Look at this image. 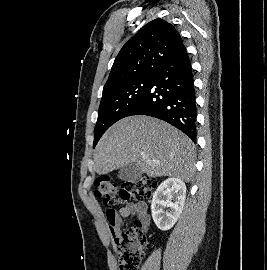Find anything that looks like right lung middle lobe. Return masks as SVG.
Masks as SVG:
<instances>
[{"label":"right lung middle lobe","instance_id":"right-lung-middle-lobe-1","mask_svg":"<svg viewBox=\"0 0 267 270\" xmlns=\"http://www.w3.org/2000/svg\"><path fill=\"white\" fill-rule=\"evenodd\" d=\"M151 81L152 76L139 77L103 91L94 130L93 147L111 125L124 118L142 99Z\"/></svg>","mask_w":267,"mask_h":270}]
</instances>
